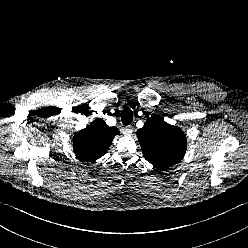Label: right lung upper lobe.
Here are the masks:
<instances>
[{"mask_svg":"<svg viewBox=\"0 0 248 248\" xmlns=\"http://www.w3.org/2000/svg\"><path fill=\"white\" fill-rule=\"evenodd\" d=\"M117 134L119 130L116 127H109L104 120L96 119L74 135L73 150L80 159L94 162L107 152Z\"/></svg>","mask_w":248,"mask_h":248,"instance_id":"obj_1","label":"right lung upper lobe"}]
</instances>
